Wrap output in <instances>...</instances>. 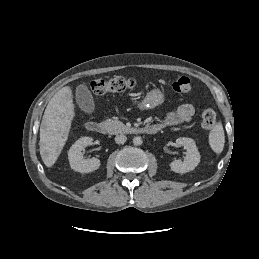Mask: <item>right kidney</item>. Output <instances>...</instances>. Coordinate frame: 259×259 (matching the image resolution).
<instances>
[{
    "instance_id": "obj_1",
    "label": "right kidney",
    "mask_w": 259,
    "mask_h": 259,
    "mask_svg": "<svg viewBox=\"0 0 259 259\" xmlns=\"http://www.w3.org/2000/svg\"><path fill=\"white\" fill-rule=\"evenodd\" d=\"M91 137L79 138L69 149L68 159L70 167L80 173H90L99 169L101 162L97 158L85 159L81 151L92 143Z\"/></svg>"
}]
</instances>
